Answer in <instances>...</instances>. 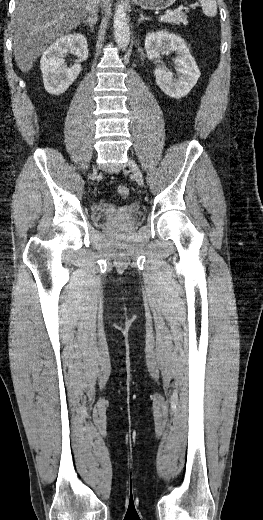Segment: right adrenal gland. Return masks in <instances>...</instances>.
I'll list each match as a JSON object with an SVG mask.
<instances>
[{"instance_id":"right-adrenal-gland-1","label":"right adrenal gland","mask_w":263,"mask_h":520,"mask_svg":"<svg viewBox=\"0 0 263 520\" xmlns=\"http://www.w3.org/2000/svg\"><path fill=\"white\" fill-rule=\"evenodd\" d=\"M97 22V17L95 14L89 16L86 20H83L82 23L88 25L92 31H94V26Z\"/></svg>"}]
</instances>
